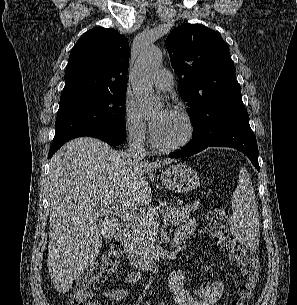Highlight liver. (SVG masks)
<instances>
[{
    "label": "liver",
    "mask_w": 297,
    "mask_h": 305,
    "mask_svg": "<svg viewBox=\"0 0 297 305\" xmlns=\"http://www.w3.org/2000/svg\"><path fill=\"white\" fill-rule=\"evenodd\" d=\"M172 162L134 161L127 152L91 137L71 140L54 154L48 177L47 267L59 293L68 292L95 261L102 236L109 239L115 234L118 219L100 211L115 207L126 212L149 204L151 188L144 174Z\"/></svg>",
    "instance_id": "1"
}]
</instances>
